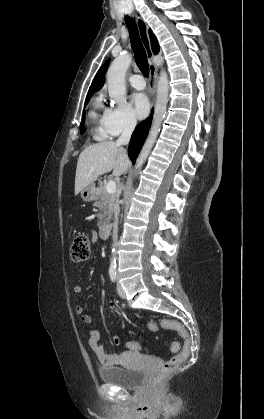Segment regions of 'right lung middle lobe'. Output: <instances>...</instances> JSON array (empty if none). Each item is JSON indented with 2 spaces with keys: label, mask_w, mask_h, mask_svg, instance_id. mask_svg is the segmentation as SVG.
I'll use <instances>...</instances> for the list:
<instances>
[{
  "label": "right lung middle lobe",
  "mask_w": 264,
  "mask_h": 419,
  "mask_svg": "<svg viewBox=\"0 0 264 419\" xmlns=\"http://www.w3.org/2000/svg\"><path fill=\"white\" fill-rule=\"evenodd\" d=\"M89 100H90V98H88V99H86L85 100V104H87L88 102H89ZM84 123H85V115H84V113H83V115H82V121H81V124H80V128H81V133H83L84 132Z\"/></svg>",
  "instance_id": "obj_1"
}]
</instances>
